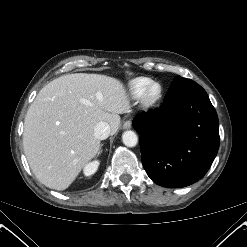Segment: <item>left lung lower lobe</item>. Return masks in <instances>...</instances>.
Returning a JSON list of instances; mask_svg holds the SVG:
<instances>
[{"mask_svg":"<svg viewBox=\"0 0 247 247\" xmlns=\"http://www.w3.org/2000/svg\"><path fill=\"white\" fill-rule=\"evenodd\" d=\"M143 167L157 184L180 188L200 180L219 148L217 113L196 82L172 83L159 109L138 114Z\"/></svg>","mask_w":247,"mask_h":247,"instance_id":"0a47b994","label":"left lung lower lobe"}]
</instances>
